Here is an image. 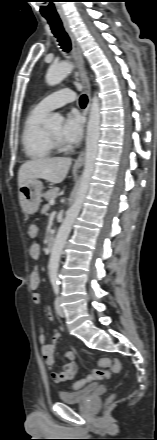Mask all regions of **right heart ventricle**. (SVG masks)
<instances>
[{"label":"right heart ventricle","instance_id":"right-heart-ventricle-1","mask_svg":"<svg viewBox=\"0 0 157 440\" xmlns=\"http://www.w3.org/2000/svg\"><path fill=\"white\" fill-rule=\"evenodd\" d=\"M47 113L33 108L25 118L22 131V144L25 153L30 158H42L51 155L54 147L50 142L44 119Z\"/></svg>","mask_w":157,"mask_h":440}]
</instances>
